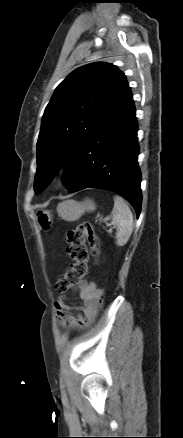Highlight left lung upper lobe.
<instances>
[{
  "mask_svg": "<svg viewBox=\"0 0 183 438\" xmlns=\"http://www.w3.org/2000/svg\"><path fill=\"white\" fill-rule=\"evenodd\" d=\"M130 95L124 74L108 63L80 67L60 83L45 109L37 141L35 192Z\"/></svg>",
  "mask_w": 183,
  "mask_h": 438,
  "instance_id": "left-lung-upper-lobe-1",
  "label": "left lung upper lobe"
}]
</instances>
